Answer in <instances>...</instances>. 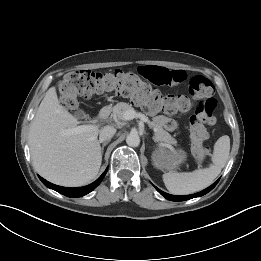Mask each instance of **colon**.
Wrapping results in <instances>:
<instances>
[{"label":"colon","mask_w":261,"mask_h":261,"mask_svg":"<svg viewBox=\"0 0 261 261\" xmlns=\"http://www.w3.org/2000/svg\"><path fill=\"white\" fill-rule=\"evenodd\" d=\"M59 98L62 106L68 110H76L79 97L91 98L105 93L131 98L149 112H165L174 114L194 107L190 118V137L193 154L202 160L209 154L204 146L206 126L216 123L214 111L216 100L213 83L204 76H194L189 81L186 95L162 94L152 88L137 74L130 71L115 70L99 72L93 70H77L66 74L60 81Z\"/></svg>","instance_id":"5ec220e1"}]
</instances>
